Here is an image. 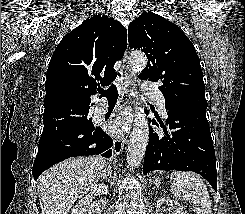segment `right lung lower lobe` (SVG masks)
<instances>
[{"instance_id": "98d812e1", "label": "right lung lower lobe", "mask_w": 245, "mask_h": 214, "mask_svg": "<svg viewBox=\"0 0 245 214\" xmlns=\"http://www.w3.org/2000/svg\"><path fill=\"white\" fill-rule=\"evenodd\" d=\"M88 113L89 108L44 124L32 170L35 180L50 166L70 157L111 156L113 140L100 127H94Z\"/></svg>"}]
</instances>
